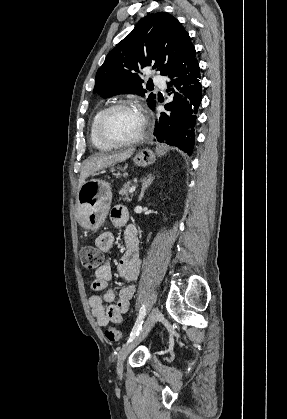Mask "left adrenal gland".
I'll list each match as a JSON object with an SVG mask.
<instances>
[{"label":"left adrenal gland","mask_w":287,"mask_h":419,"mask_svg":"<svg viewBox=\"0 0 287 419\" xmlns=\"http://www.w3.org/2000/svg\"><path fill=\"white\" fill-rule=\"evenodd\" d=\"M153 180H154V176H152L151 174H149L146 178H143L142 189H141V193H140L138 201L142 200V198L144 197L145 190L151 185Z\"/></svg>","instance_id":"a2214340"}]
</instances>
